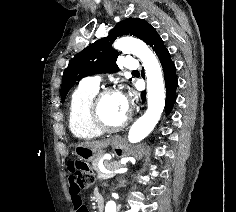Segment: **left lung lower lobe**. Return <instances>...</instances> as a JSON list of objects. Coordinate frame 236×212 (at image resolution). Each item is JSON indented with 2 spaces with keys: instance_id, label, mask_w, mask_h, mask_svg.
<instances>
[{
  "instance_id": "0a47b994",
  "label": "left lung lower lobe",
  "mask_w": 236,
  "mask_h": 212,
  "mask_svg": "<svg viewBox=\"0 0 236 212\" xmlns=\"http://www.w3.org/2000/svg\"><path fill=\"white\" fill-rule=\"evenodd\" d=\"M146 43L153 48L162 64L166 85L165 108L166 113L168 114L170 113L176 100V67L173 61L171 60L170 53L165 47L162 38L159 36V34L154 28L150 31ZM141 98L145 100V92H142Z\"/></svg>"
}]
</instances>
